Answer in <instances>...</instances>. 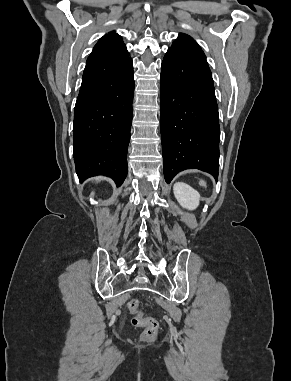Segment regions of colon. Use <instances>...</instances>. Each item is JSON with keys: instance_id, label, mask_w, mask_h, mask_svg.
Listing matches in <instances>:
<instances>
[{"instance_id": "colon-1", "label": "colon", "mask_w": 291, "mask_h": 381, "mask_svg": "<svg viewBox=\"0 0 291 381\" xmlns=\"http://www.w3.org/2000/svg\"><path fill=\"white\" fill-rule=\"evenodd\" d=\"M140 302L138 299H131L128 304V311L133 315L132 324L136 327H143V337L146 340L155 339L158 331V323L155 319L145 317L139 310Z\"/></svg>"}]
</instances>
